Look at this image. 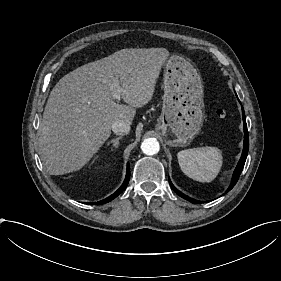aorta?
<instances>
[{"label":"aorta","mask_w":281,"mask_h":281,"mask_svg":"<svg viewBox=\"0 0 281 281\" xmlns=\"http://www.w3.org/2000/svg\"><path fill=\"white\" fill-rule=\"evenodd\" d=\"M141 150L146 155H155L160 150L159 142L156 138H147L142 142Z\"/></svg>","instance_id":"obj_1"}]
</instances>
